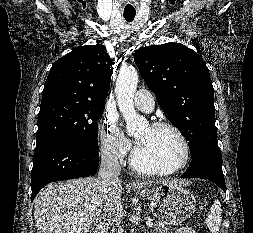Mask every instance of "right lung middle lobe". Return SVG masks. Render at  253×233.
I'll list each match as a JSON object with an SVG mask.
<instances>
[{"label": "right lung middle lobe", "instance_id": "obj_1", "mask_svg": "<svg viewBox=\"0 0 253 233\" xmlns=\"http://www.w3.org/2000/svg\"><path fill=\"white\" fill-rule=\"evenodd\" d=\"M105 103L52 100L41 103L37 143L48 139L69 141L90 150H99L98 119Z\"/></svg>", "mask_w": 253, "mask_h": 233}]
</instances>
